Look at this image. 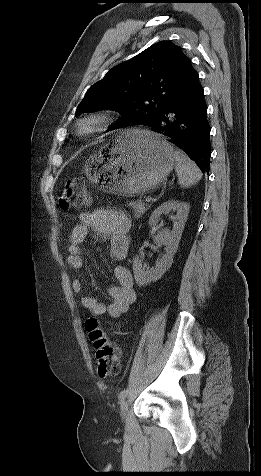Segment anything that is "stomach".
Returning a JSON list of instances; mask_svg holds the SVG:
<instances>
[{
    "mask_svg": "<svg viewBox=\"0 0 261 476\" xmlns=\"http://www.w3.org/2000/svg\"><path fill=\"white\" fill-rule=\"evenodd\" d=\"M171 145L148 130L117 133L86 161L87 178L104 190L133 196L157 188L175 165Z\"/></svg>",
    "mask_w": 261,
    "mask_h": 476,
    "instance_id": "0dacf381",
    "label": "stomach"
}]
</instances>
